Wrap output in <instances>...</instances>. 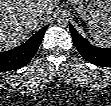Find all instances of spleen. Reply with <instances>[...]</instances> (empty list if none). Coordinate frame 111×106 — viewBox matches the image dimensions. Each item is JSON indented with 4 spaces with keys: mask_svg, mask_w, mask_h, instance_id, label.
Segmentation results:
<instances>
[{
    "mask_svg": "<svg viewBox=\"0 0 111 106\" xmlns=\"http://www.w3.org/2000/svg\"><path fill=\"white\" fill-rule=\"evenodd\" d=\"M89 33L102 46L111 47V17L106 22L89 21Z\"/></svg>",
    "mask_w": 111,
    "mask_h": 106,
    "instance_id": "spleen-1",
    "label": "spleen"
}]
</instances>
